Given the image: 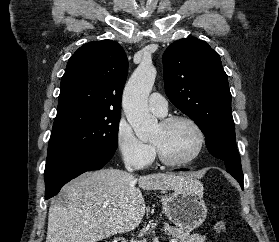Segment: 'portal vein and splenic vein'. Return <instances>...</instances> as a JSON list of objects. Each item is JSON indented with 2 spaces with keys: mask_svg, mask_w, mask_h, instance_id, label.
Wrapping results in <instances>:
<instances>
[{
  "mask_svg": "<svg viewBox=\"0 0 279 242\" xmlns=\"http://www.w3.org/2000/svg\"><path fill=\"white\" fill-rule=\"evenodd\" d=\"M171 242H178V240L177 239H172Z\"/></svg>",
  "mask_w": 279,
  "mask_h": 242,
  "instance_id": "obj_1",
  "label": "portal vein and splenic vein"
}]
</instances>
